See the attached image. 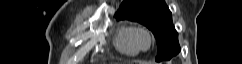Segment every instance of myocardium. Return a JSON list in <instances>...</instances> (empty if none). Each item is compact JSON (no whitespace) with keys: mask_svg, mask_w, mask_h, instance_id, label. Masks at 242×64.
Segmentation results:
<instances>
[{"mask_svg":"<svg viewBox=\"0 0 242 64\" xmlns=\"http://www.w3.org/2000/svg\"><path fill=\"white\" fill-rule=\"evenodd\" d=\"M142 37L146 38V45L141 44L140 39ZM132 41L138 51H147L152 47L154 39L151 31L148 28L139 26L134 27L132 31Z\"/></svg>","mask_w":242,"mask_h":64,"instance_id":"1","label":"myocardium"}]
</instances>
